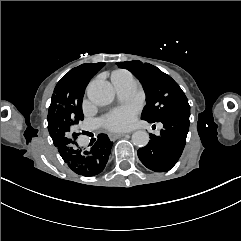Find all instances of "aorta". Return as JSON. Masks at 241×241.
Returning a JSON list of instances; mask_svg holds the SVG:
<instances>
[{
  "label": "aorta",
  "mask_w": 241,
  "mask_h": 241,
  "mask_svg": "<svg viewBox=\"0 0 241 241\" xmlns=\"http://www.w3.org/2000/svg\"><path fill=\"white\" fill-rule=\"evenodd\" d=\"M87 96L94 104L105 106L114 100L115 92L113 86L108 81L96 79L89 83ZM149 140V134L144 130L136 131L132 135V142L138 147L146 146Z\"/></svg>",
  "instance_id": "1"
}]
</instances>
